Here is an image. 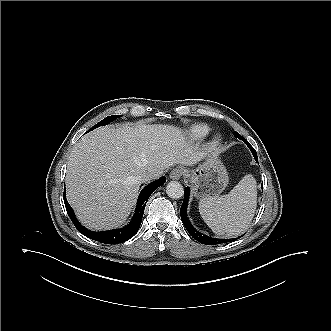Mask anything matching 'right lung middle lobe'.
I'll use <instances>...</instances> for the list:
<instances>
[{
	"mask_svg": "<svg viewBox=\"0 0 331 331\" xmlns=\"http://www.w3.org/2000/svg\"><path fill=\"white\" fill-rule=\"evenodd\" d=\"M120 116L117 115H112V116H108L106 118H104L102 121H100L98 124L94 125L91 129H89L87 132L99 127V126H103V125H107L110 122H112L113 120L119 118Z\"/></svg>",
	"mask_w": 331,
	"mask_h": 331,
	"instance_id": "dd1d6c3e",
	"label": "right lung middle lobe"
}]
</instances>
